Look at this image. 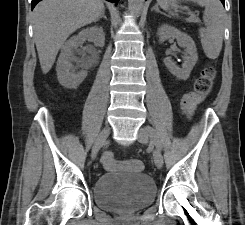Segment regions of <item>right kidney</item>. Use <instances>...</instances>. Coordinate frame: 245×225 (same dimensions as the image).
I'll use <instances>...</instances> for the list:
<instances>
[{
  "mask_svg": "<svg viewBox=\"0 0 245 225\" xmlns=\"http://www.w3.org/2000/svg\"><path fill=\"white\" fill-rule=\"evenodd\" d=\"M86 39H91L95 46L103 47L105 44V34L102 27H90L83 29L64 43L57 61L56 71L59 83L69 89L77 88L87 76V71L75 72L78 68L84 67L83 60L74 55V51ZM76 63V66L73 63Z\"/></svg>",
  "mask_w": 245,
  "mask_h": 225,
  "instance_id": "obj_1",
  "label": "right kidney"
}]
</instances>
